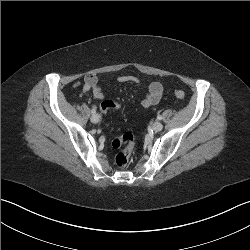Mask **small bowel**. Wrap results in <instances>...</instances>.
<instances>
[{
	"label": "small bowel",
	"mask_w": 250,
	"mask_h": 250,
	"mask_svg": "<svg viewBox=\"0 0 250 250\" xmlns=\"http://www.w3.org/2000/svg\"><path fill=\"white\" fill-rule=\"evenodd\" d=\"M120 83H133L139 86H146L147 92L141 102L144 108L152 107L159 103L163 95V86L158 81H152L147 84L143 83L138 77L133 75H121L117 77ZM91 91L95 99H103L105 97L95 75L89 74L84 77L81 94Z\"/></svg>",
	"instance_id": "small-bowel-1"
}]
</instances>
